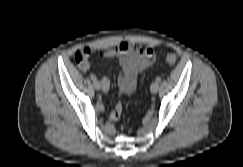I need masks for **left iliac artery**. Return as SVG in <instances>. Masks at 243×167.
<instances>
[{
	"mask_svg": "<svg viewBox=\"0 0 243 167\" xmlns=\"http://www.w3.org/2000/svg\"><path fill=\"white\" fill-rule=\"evenodd\" d=\"M160 81H161V77H157L156 82H160Z\"/></svg>",
	"mask_w": 243,
	"mask_h": 167,
	"instance_id": "1",
	"label": "left iliac artery"
}]
</instances>
